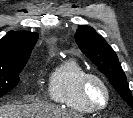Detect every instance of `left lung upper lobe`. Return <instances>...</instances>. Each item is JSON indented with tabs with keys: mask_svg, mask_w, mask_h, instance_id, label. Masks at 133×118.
Returning a JSON list of instances; mask_svg holds the SVG:
<instances>
[{
	"mask_svg": "<svg viewBox=\"0 0 133 118\" xmlns=\"http://www.w3.org/2000/svg\"><path fill=\"white\" fill-rule=\"evenodd\" d=\"M75 40L80 50L108 78L122 99L133 108V96L115 51L89 26H79Z\"/></svg>",
	"mask_w": 133,
	"mask_h": 118,
	"instance_id": "5c2ea615",
	"label": "left lung upper lobe"
}]
</instances>
